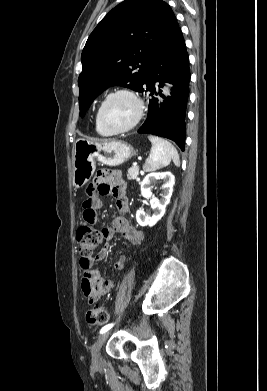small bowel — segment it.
<instances>
[{"label": "small bowel", "instance_id": "c3829d8e", "mask_svg": "<svg viewBox=\"0 0 267 391\" xmlns=\"http://www.w3.org/2000/svg\"><path fill=\"white\" fill-rule=\"evenodd\" d=\"M125 189L126 183L119 172L112 170L99 171L87 188V198L82 204V216L87 225H95L99 218L98 212L103 205L100 196L113 195L120 215L102 229V237L109 241L116 233H119L129 244L138 245L143 241L144 234L132 226L125 216L130 211V203ZM108 253L109 245L105 244L88 262L80 260L82 269L81 289L88 303L96 302L115 288L113 281L105 279L99 270L93 269V266L103 261ZM114 268L119 271L126 268L124 255H121L115 261Z\"/></svg>", "mask_w": 267, "mask_h": 391}]
</instances>
